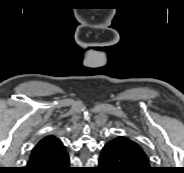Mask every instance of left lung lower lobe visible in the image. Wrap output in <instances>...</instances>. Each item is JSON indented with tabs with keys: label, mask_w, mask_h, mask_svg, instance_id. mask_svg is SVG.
Segmentation results:
<instances>
[{
	"label": "left lung lower lobe",
	"mask_w": 184,
	"mask_h": 173,
	"mask_svg": "<svg viewBox=\"0 0 184 173\" xmlns=\"http://www.w3.org/2000/svg\"><path fill=\"white\" fill-rule=\"evenodd\" d=\"M101 173H154L150 167L131 147L130 139L118 136L102 149L99 158Z\"/></svg>",
	"instance_id": "1"
}]
</instances>
